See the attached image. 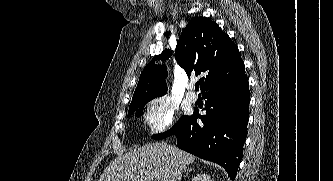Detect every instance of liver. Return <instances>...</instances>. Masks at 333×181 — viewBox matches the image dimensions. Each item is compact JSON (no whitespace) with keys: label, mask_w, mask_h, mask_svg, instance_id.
<instances>
[{"label":"liver","mask_w":333,"mask_h":181,"mask_svg":"<svg viewBox=\"0 0 333 181\" xmlns=\"http://www.w3.org/2000/svg\"><path fill=\"white\" fill-rule=\"evenodd\" d=\"M195 158L165 143L146 144L117 156L98 181H179Z\"/></svg>","instance_id":"liver-1"}]
</instances>
